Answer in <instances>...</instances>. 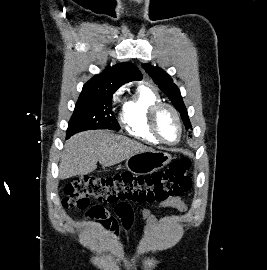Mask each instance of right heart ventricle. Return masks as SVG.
<instances>
[{
    "instance_id": "e07e8e85",
    "label": "right heart ventricle",
    "mask_w": 267,
    "mask_h": 270,
    "mask_svg": "<svg viewBox=\"0 0 267 270\" xmlns=\"http://www.w3.org/2000/svg\"><path fill=\"white\" fill-rule=\"evenodd\" d=\"M159 102H162L161 97L151 85L140 84L122 109L120 120L126 132L148 144H159L148 124L149 111Z\"/></svg>"
}]
</instances>
